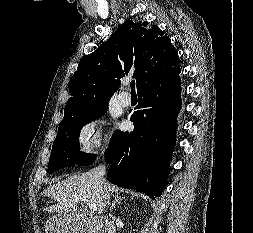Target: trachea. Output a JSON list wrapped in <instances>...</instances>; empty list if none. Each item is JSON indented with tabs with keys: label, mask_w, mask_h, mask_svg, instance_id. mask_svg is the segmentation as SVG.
Returning <instances> with one entry per match:
<instances>
[{
	"label": "trachea",
	"mask_w": 253,
	"mask_h": 233,
	"mask_svg": "<svg viewBox=\"0 0 253 233\" xmlns=\"http://www.w3.org/2000/svg\"><path fill=\"white\" fill-rule=\"evenodd\" d=\"M130 87H131V91H132L131 93L135 94V81H131Z\"/></svg>",
	"instance_id": "3493384b"
}]
</instances>
